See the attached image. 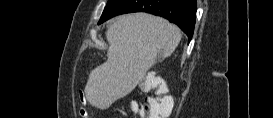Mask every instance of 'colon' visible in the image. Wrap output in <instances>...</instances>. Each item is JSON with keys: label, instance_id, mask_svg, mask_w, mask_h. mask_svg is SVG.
Masks as SVG:
<instances>
[{"label": "colon", "instance_id": "obj_1", "mask_svg": "<svg viewBox=\"0 0 273 118\" xmlns=\"http://www.w3.org/2000/svg\"><path fill=\"white\" fill-rule=\"evenodd\" d=\"M145 88L153 87V81L146 79ZM173 108V99L171 96L148 97L143 102H135L134 111L143 117L148 118H164L168 117ZM84 118V117H83Z\"/></svg>", "mask_w": 273, "mask_h": 118}]
</instances>
